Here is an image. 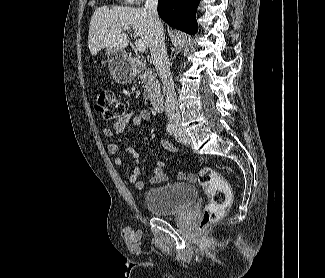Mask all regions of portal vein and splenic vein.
<instances>
[{
	"label": "portal vein and splenic vein",
	"instance_id": "18ae733b",
	"mask_svg": "<svg viewBox=\"0 0 325 278\" xmlns=\"http://www.w3.org/2000/svg\"><path fill=\"white\" fill-rule=\"evenodd\" d=\"M126 29H127V28H124V30H126ZM135 46H136V48H137V50H138L139 52L144 53L145 50H146V45H145L144 41L141 40V39H137V40L135 41Z\"/></svg>",
	"mask_w": 325,
	"mask_h": 278
}]
</instances>
